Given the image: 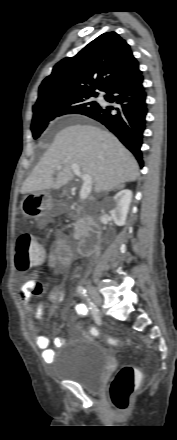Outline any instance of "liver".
<instances>
[{
	"label": "liver",
	"instance_id": "1",
	"mask_svg": "<svg viewBox=\"0 0 177 440\" xmlns=\"http://www.w3.org/2000/svg\"><path fill=\"white\" fill-rule=\"evenodd\" d=\"M72 164L91 176L97 193L135 181L139 175L136 159L114 135L92 125H72L56 134L24 181L21 193L61 188L73 179ZM58 165L62 169L58 170Z\"/></svg>",
	"mask_w": 177,
	"mask_h": 440
}]
</instances>
